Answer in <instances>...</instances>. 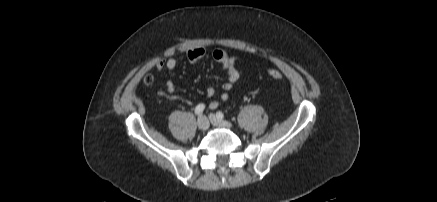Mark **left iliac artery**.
Wrapping results in <instances>:
<instances>
[{
  "mask_svg": "<svg viewBox=\"0 0 437 202\" xmlns=\"http://www.w3.org/2000/svg\"><path fill=\"white\" fill-rule=\"evenodd\" d=\"M216 116H217V118H219V119H223V118H224V114H223L221 111H218V112L216 113Z\"/></svg>",
  "mask_w": 437,
  "mask_h": 202,
  "instance_id": "1",
  "label": "left iliac artery"
}]
</instances>
